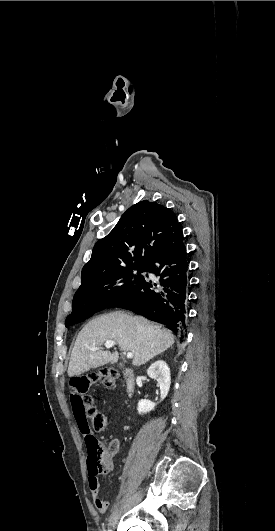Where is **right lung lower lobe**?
I'll return each mask as SVG.
<instances>
[{
  "instance_id": "1",
  "label": "right lung lower lobe",
  "mask_w": 275,
  "mask_h": 531,
  "mask_svg": "<svg viewBox=\"0 0 275 531\" xmlns=\"http://www.w3.org/2000/svg\"><path fill=\"white\" fill-rule=\"evenodd\" d=\"M187 267L186 248L179 225L146 266V272L159 277V281L153 283L144 278L129 298L117 307L162 323L175 334L182 335L186 328Z\"/></svg>"
}]
</instances>
